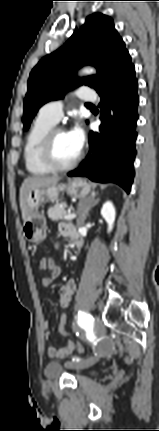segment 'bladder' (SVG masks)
Segmentation results:
<instances>
[{
	"mask_svg": "<svg viewBox=\"0 0 159 431\" xmlns=\"http://www.w3.org/2000/svg\"><path fill=\"white\" fill-rule=\"evenodd\" d=\"M64 371V367L59 364V363H50L47 365L45 372L47 374V376L54 378L59 376L60 374H62ZM88 375H94L95 372L94 371H88L87 372Z\"/></svg>",
	"mask_w": 159,
	"mask_h": 431,
	"instance_id": "31cf9c89",
	"label": "bladder"
}]
</instances>
